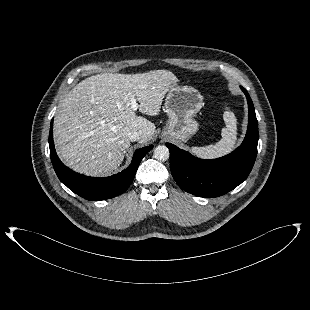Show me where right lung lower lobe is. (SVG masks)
Listing matches in <instances>:
<instances>
[{
	"label": "right lung lower lobe",
	"mask_w": 310,
	"mask_h": 310,
	"mask_svg": "<svg viewBox=\"0 0 310 310\" xmlns=\"http://www.w3.org/2000/svg\"><path fill=\"white\" fill-rule=\"evenodd\" d=\"M50 158L54 170L62 183L84 199L91 201L113 198L123 193L132 183L142 158L153 148L152 145L135 151L128 168L106 178H94L78 174L66 167L58 158L53 142V121L49 132Z\"/></svg>",
	"instance_id": "1"
}]
</instances>
